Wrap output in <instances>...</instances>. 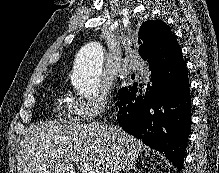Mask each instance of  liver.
I'll return each mask as SVG.
<instances>
[{
	"label": "liver",
	"instance_id": "obj_1",
	"mask_svg": "<svg viewBox=\"0 0 219 173\" xmlns=\"http://www.w3.org/2000/svg\"><path fill=\"white\" fill-rule=\"evenodd\" d=\"M147 147L118 126L42 124L31 126L20 143L18 173H120Z\"/></svg>",
	"mask_w": 219,
	"mask_h": 173
}]
</instances>
